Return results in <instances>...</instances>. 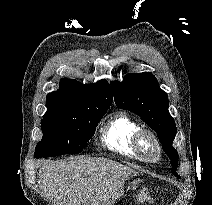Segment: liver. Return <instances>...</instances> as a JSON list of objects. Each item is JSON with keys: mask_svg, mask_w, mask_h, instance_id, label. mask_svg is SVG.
Here are the masks:
<instances>
[{"mask_svg": "<svg viewBox=\"0 0 212 205\" xmlns=\"http://www.w3.org/2000/svg\"><path fill=\"white\" fill-rule=\"evenodd\" d=\"M39 174L54 205H112L136 172L104 158H75L45 163Z\"/></svg>", "mask_w": 212, "mask_h": 205, "instance_id": "obj_1", "label": "liver"}]
</instances>
